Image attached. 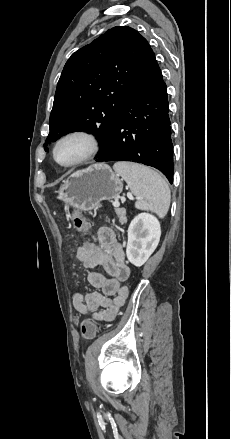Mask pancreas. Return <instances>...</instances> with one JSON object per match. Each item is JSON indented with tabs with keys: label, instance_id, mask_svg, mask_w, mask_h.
I'll list each match as a JSON object with an SVG mask.
<instances>
[{
	"label": "pancreas",
	"instance_id": "1",
	"mask_svg": "<svg viewBox=\"0 0 231 439\" xmlns=\"http://www.w3.org/2000/svg\"><path fill=\"white\" fill-rule=\"evenodd\" d=\"M116 214L117 217L119 218V222L121 224H126L127 223V218H126V211L125 209H116Z\"/></svg>",
	"mask_w": 231,
	"mask_h": 439
}]
</instances>
